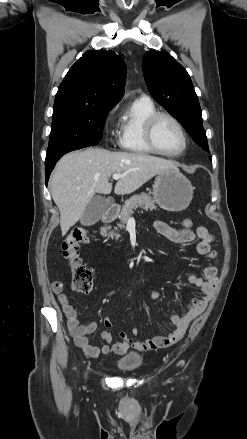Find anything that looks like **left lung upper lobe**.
I'll return each instance as SVG.
<instances>
[{
	"instance_id": "left-lung-upper-lobe-1",
	"label": "left lung upper lobe",
	"mask_w": 247,
	"mask_h": 439,
	"mask_svg": "<svg viewBox=\"0 0 247 439\" xmlns=\"http://www.w3.org/2000/svg\"><path fill=\"white\" fill-rule=\"evenodd\" d=\"M142 63L151 96L184 126L199 146L209 151L201 108L187 71L163 52L148 51Z\"/></svg>"
}]
</instances>
